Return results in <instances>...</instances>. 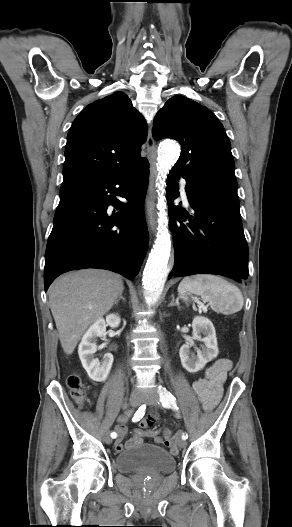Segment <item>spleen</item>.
Instances as JSON below:
<instances>
[{"instance_id": "1", "label": "spleen", "mask_w": 292, "mask_h": 527, "mask_svg": "<svg viewBox=\"0 0 292 527\" xmlns=\"http://www.w3.org/2000/svg\"><path fill=\"white\" fill-rule=\"evenodd\" d=\"M178 293L188 300L189 294H195L208 302L214 311L235 313L242 309L244 299L235 285L215 275H194L185 277L178 286Z\"/></svg>"}]
</instances>
